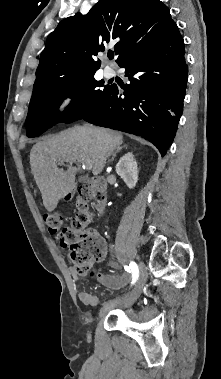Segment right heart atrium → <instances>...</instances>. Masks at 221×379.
<instances>
[{"label":"right heart atrium","instance_id":"right-heart-atrium-1","mask_svg":"<svg viewBox=\"0 0 221 379\" xmlns=\"http://www.w3.org/2000/svg\"><path fill=\"white\" fill-rule=\"evenodd\" d=\"M77 93L74 90H68L60 95L56 102V109L59 113H67L74 105Z\"/></svg>","mask_w":221,"mask_h":379}]
</instances>
